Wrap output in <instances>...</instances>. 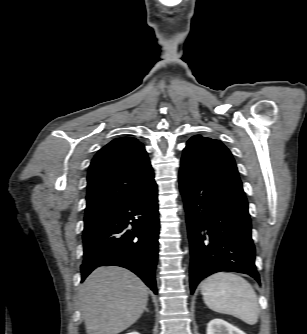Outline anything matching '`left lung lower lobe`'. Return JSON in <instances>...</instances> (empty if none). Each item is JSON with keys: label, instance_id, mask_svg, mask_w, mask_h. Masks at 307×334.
Segmentation results:
<instances>
[{"label": "left lung lower lobe", "instance_id": "obj_1", "mask_svg": "<svg viewBox=\"0 0 307 334\" xmlns=\"http://www.w3.org/2000/svg\"><path fill=\"white\" fill-rule=\"evenodd\" d=\"M190 242V288L220 271L260 282L255 267L248 203L241 185L186 171L179 173Z\"/></svg>", "mask_w": 307, "mask_h": 334}]
</instances>
